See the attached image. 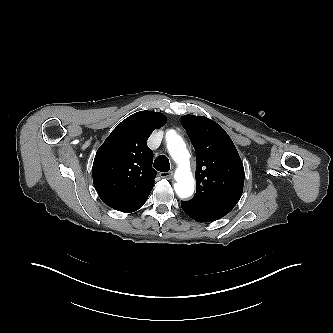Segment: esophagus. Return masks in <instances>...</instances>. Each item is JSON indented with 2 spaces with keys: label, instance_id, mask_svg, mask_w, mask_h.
<instances>
[{
  "label": "esophagus",
  "instance_id": "1",
  "mask_svg": "<svg viewBox=\"0 0 333 333\" xmlns=\"http://www.w3.org/2000/svg\"><path fill=\"white\" fill-rule=\"evenodd\" d=\"M159 176L165 179H171L173 177V172H160Z\"/></svg>",
  "mask_w": 333,
  "mask_h": 333
}]
</instances>
